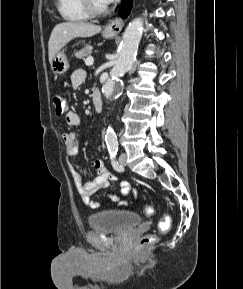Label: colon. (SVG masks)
<instances>
[{"mask_svg":"<svg viewBox=\"0 0 243 289\" xmlns=\"http://www.w3.org/2000/svg\"><path fill=\"white\" fill-rule=\"evenodd\" d=\"M53 105L55 109V113L57 115H62L66 110V100L63 95L56 94L53 97ZM146 215H151L153 213V208L149 205L145 206L143 209ZM171 226V217L169 215H165L159 222V231L160 233H166ZM157 240L156 235H146L141 239L140 245L142 247H146L148 245L153 244Z\"/></svg>","mask_w":243,"mask_h":289,"instance_id":"colon-1","label":"colon"}]
</instances>
